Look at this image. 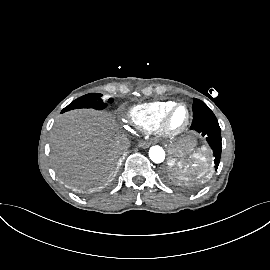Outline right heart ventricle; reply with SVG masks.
<instances>
[{
    "mask_svg": "<svg viewBox=\"0 0 270 270\" xmlns=\"http://www.w3.org/2000/svg\"><path fill=\"white\" fill-rule=\"evenodd\" d=\"M174 104L170 100L138 104L129 109L127 116L135 128L153 132L160 127L163 116Z\"/></svg>",
    "mask_w": 270,
    "mask_h": 270,
    "instance_id": "right-heart-ventricle-1",
    "label": "right heart ventricle"
}]
</instances>
